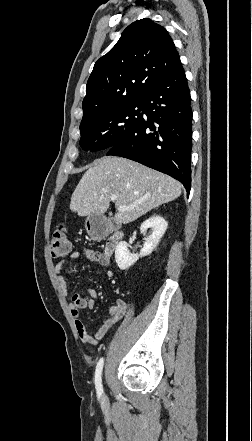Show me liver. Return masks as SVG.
I'll return each instance as SVG.
<instances>
[{
	"label": "liver",
	"mask_w": 252,
	"mask_h": 441,
	"mask_svg": "<svg viewBox=\"0 0 252 441\" xmlns=\"http://www.w3.org/2000/svg\"><path fill=\"white\" fill-rule=\"evenodd\" d=\"M182 184L172 177L122 157L95 161L75 188L70 209L79 216L103 215L115 195V221L128 224L181 195Z\"/></svg>",
	"instance_id": "6515ba94"
}]
</instances>
